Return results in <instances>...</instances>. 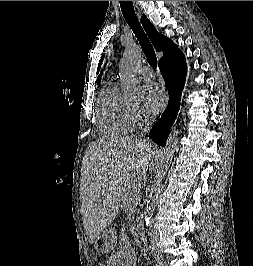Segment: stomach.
Returning <instances> with one entry per match:
<instances>
[{"mask_svg": "<svg viewBox=\"0 0 253 266\" xmlns=\"http://www.w3.org/2000/svg\"><path fill=\"white\" fill-rule=\"evenodd\" d=\"M116 240V232L113 229H105L95 241L94 247L98 253L108 254L113 250Z\"/></svg>", "mask_w": 253, "mask_h": 266, "instance_id": "stomach-1", "label": "stomach"}]
</instances>
